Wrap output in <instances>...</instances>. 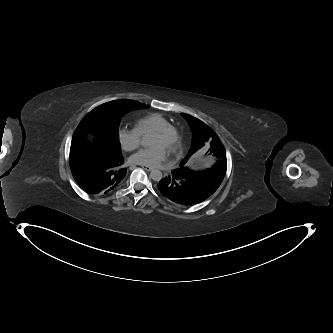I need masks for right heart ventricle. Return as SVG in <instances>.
<instances>
[{"mask_svg": "<svg viewBox=\"0 0 333 333\" xmlns=\"http://www.w3.org/2000/svg\"><path fill=\"white\" fill-rule=\"evenodd\" d=\"M171 126L170 121L159 113H150L136 120L135 128L141 135Z\"/></svg>", "mask_w": 333, "mask_h": 333, "instance_id": "right-heart-ventricle-1", "label": "right heart ventricle"}]
</instances>
